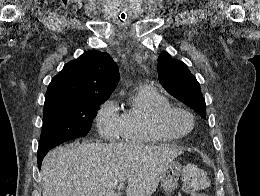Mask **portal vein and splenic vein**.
I'll use <instances>...</instances> for the list:
<instances>
[{
	"mask_svg": "<svg viewBox=\"0 0 260 196\" xmlns=\"http://www.w3.org/2000/svg\"><path fill=\"white\" fill-rule=\"evenodd\" d=\"M118 192H120V190H124L125 188V184H119V186H116Z\"/></svg>",
	"mask_w": 260,
	"mask_h": 196,
	"instance_id": "1",
	"label": "portal vein and splenic vein"
}]
</instances>
